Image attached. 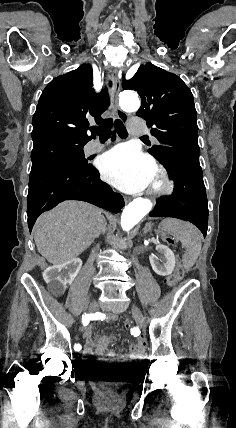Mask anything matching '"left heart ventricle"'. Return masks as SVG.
I'll list each match as a JSON object with an SVG mask.
<instances>
[{
	"instance_id": "obj_1",
	"label": "left heart ventricle",
	"mask_w": 236,
	"mask_h": 428,
	"mask_svg": "<svg viewBox=\"0 0 236 428\" xmlns=\"http://www.w3.org/2000/svg\"><path fill=\"white\" fill-rule=\"evenodd\" d=\"M154 182H155V175H154V178H153V180H152V182H151L150 185H152Z\"/></svg>"
}]
</instances>
